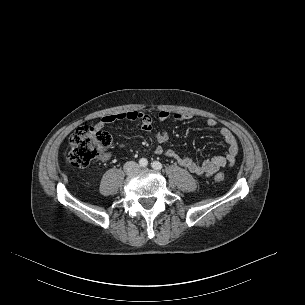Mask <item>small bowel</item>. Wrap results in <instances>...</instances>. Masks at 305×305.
<instances>
[{"mask_svg":"<svg viewBox=\"0 0 305 305\" xmlns=\"http://www.w3.org/2000/svg\"><path fill=\"white\" fill-rule=\"evenodd\" d=\"M193 116L190 113H171L169 111L163 110L160 111L156 121L158 123H166L169 120H174L178 122L190 120ZM139 121L141 123L142 129L147 133H153L155 140L159 145L155 148V153L158 155H165L171 159H174L178 162V164L186 169H188L191 173L200 176V177H209L213 175L215 172L225 167L226 165H233L235 163L239 146L238 142L231 132V130L227 127H221L219 129V134L222 137L223 141L226 144V153L225 155H218L212 158L206 159L204 161H196L190 155H179L173 149H166L161 146V144L165 143L169 139L168 132L164 129H160L154 132V118L144 112L141 111H126L119 112L116 114H109L102 117L96 124L95 128L97 130H101L107 125H110L116 121ZM205 124L208 128H215L218 122L214 118H207ZM119 147L121 149H126L127 145L125 143H120ZM110 155L108 153L102 155V160H108Z\"/></svg>","mask_w":305,"mask_h":305,"instance_id":"c3829d8e","label":"small bowel"}]
</instances>
